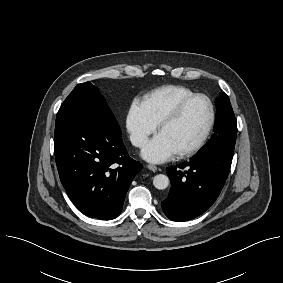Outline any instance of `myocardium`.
Segmentation results:
<instances>
[{
  "mask_svg": "<svg viewBox=\"0 0 283 283\" xmlns=\"http://www.w3.org/2000/svg\"><path fill=\"white\" fill-rule=\"evenodd\" d=\"M196 99H205L210 107V118H209V122L208 125L204 131V133L202 134V136L200 137V139L191 147L180 151L177 153V155L179 157H189L194 155L196 152H198L206 143V141L208 140L212 129L214 127L215 124V119H216V110H215V105L214 102L212 101V99L202 93H195L185 99H183L174 109L173 111L167 115L160 123H159V131L161 132L165 127H167L168 125L176 122L181 115L183 114L184 110L186 109V107L193 102Z\"/></svg>",
  "mask_w": 283,
  "mask_h": 283,
  "instance_id": "myocardium-1",
  "label": "myocardium"
}]
</instances>
